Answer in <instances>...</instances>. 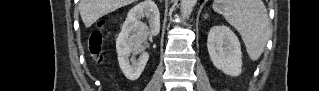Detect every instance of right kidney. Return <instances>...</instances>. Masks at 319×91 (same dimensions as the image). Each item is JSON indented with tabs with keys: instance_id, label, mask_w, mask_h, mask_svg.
Segmentation results:
<instances>
[{
	"instance_id": "obj_1",
	"label": "right kidney",
	"mask_w": 319,
	"mask_h": 91,
	"mask_svg": "<svg viewBox=\"0 0 319 91\" xmlns=\"http://www.w3.org/2000/svg\"><path fill=\"white\" fill-rule=\"evenodd\" d=\"M146 17L149 27L141 21ZM160 31V13L153 0H144L134 6L127 14L121 32L116 39V51L119 66L127 79L137 80L143 72L149 55L143 52V42L149 36H156ZM143 52L138 60L130 54Z\"/></svg>"
}]
</instances>
